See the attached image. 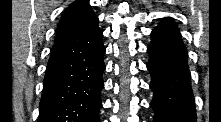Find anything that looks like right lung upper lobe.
Returning a JSON list of instances; mask_svg holds the SVG:
<instances>
[{"label": "right lung upper lobe", "instance_id": "cb5924a9", "mask_svg": "<svg viewBox=\"0 0 221 122\" xmlns=\"http://www.w3.org/2000/svg\"><path fill=\"white\" fill-rule=\"evenodd\" d=\"M97 21L98 18L90 7L88 0L75 1L64 11L61 17L54 44L75 35Z\"/></svg>", "mask_w": 221, "mask_h": 122}]
</instances>
